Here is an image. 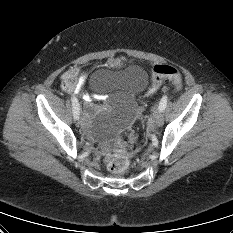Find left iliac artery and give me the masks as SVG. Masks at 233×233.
<instances>
[{
  "mask_svg": "<svg viewBox=\"0 0 233 233\" xmlns=\"http://www.w3.org/2000/svg\"><path fill=\"white\" fill-rule=\"evenodd\" d=\"M167 100H168V97L166 95H164L159 103V109L161 111L165 110L166 108V105H167Z\"/></svg>",
  "mask_w": 233,
  "mask_h": 233,
  "instance_id": "obj_1",
  "label": "left iliac artery"
}]
</instances>
